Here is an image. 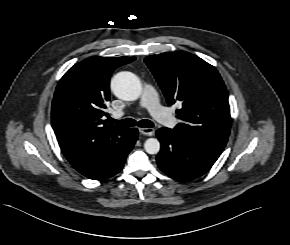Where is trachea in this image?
<instances>
[{
    "instance_id": "trachea-1",
    "label": "trachea",
    "mask_w": 290,
    "mask_h": 245,
    "mask_svg": "<svg viewBox=\"0 0 290 245\" xmlns=\"http://www.w3.org/2000/svg\"><path fill=\"white\" fill-rule=\"evenodd\" d=\"M109 121L112 124H117L120 126H128V127L137 125V126L142 127V128H151L154 126L153 122L150 120H147V119H143V120H140L139 122H137L136 120H134L132 118H126L123 120H114V119L110 118Z\"/></svg>"
}]
</instances>
